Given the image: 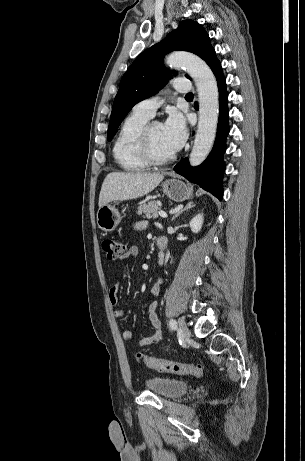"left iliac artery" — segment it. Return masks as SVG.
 I'll return each mask as SVG.
<instances>
[{"mask_svg": "<svg viewBox=\"0 0 305 461\" xmlns=\"http://www.w3.org/2000/svg\"><path fill=\"white\" fill-rule=\"evenodd\" d=\"M169 325H170V328H171L172 330H176V329H177V322H176L175 320L171 319V320L169 321Z\"/></svg>", "mask_w": 305, "mask_h": 461, "instance_id": "left-iliac-artery-1", "label": "left iliac artery"}]
</instances>
